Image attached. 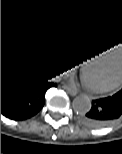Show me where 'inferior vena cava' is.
Listing matches in <instances>:
<instances>
[{
    "label": "inferior vena cava",
    "mask_w": 122,
    "mask_h": 154,
    "mask_svg": "<svg viewBox=\"0 0 122 154\" xmlns=\"http://www.w3.org/2000/svg\"><path fill=\"white\" fill-rule=\"evenodd\" d=\"M57 79H58V77L52 78V79H50L49 81H56Z\"/></svg>",
    "instance_id": "obj_1"
}]
</instances>
